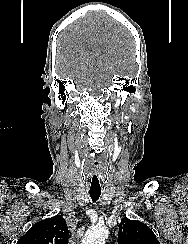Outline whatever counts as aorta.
I'll use <instances>...</instances> for the list:
<instances>
[{"label": "aorta", "instance_id": "762f6f07", "mask_svg": "<svg viewBox=\"0 0 188 244\" xmlns=\"http://www.w3.org/2000/svg\"><path fill=\"white\" fill-rule=\"evenodd\" d=\"M109 230L105 226H94L87 230L81 244H105Z\"/></svg>", "mask_w": 188, "mask_h": 244}]
</instances>
